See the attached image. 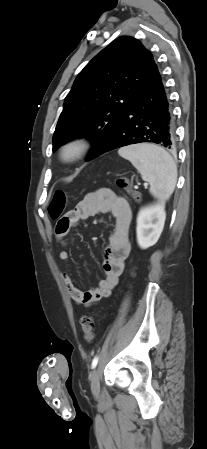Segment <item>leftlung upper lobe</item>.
I'll list each match as a JSON object with an SVG mask.
<instances>
[{"label":"left lung upper lobe","instance_id":"left-lung-upper-lobe-1","mask_svg":"<svg viewBox=\"0 0 207 449\" xmlns=\"http://www.w3.org/2000/svg\"><path fill=\"white\" fill-rule=\"evenodd\" d=\"M155 61L137 39L120 37L79 73L65 98L53 151L76 137H88L93 159L106 145L146 86Z\"/></svg>","mask_w":207,"mask_h":449}]
</instances>
